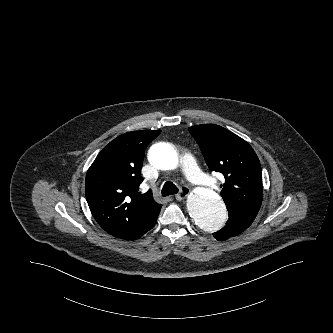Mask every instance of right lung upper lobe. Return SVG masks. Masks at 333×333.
I'll list each match as a JSON object with an SVG mask.
<instances>
[{
  "mask_svg": "<svg viewBox=\"0 0 333 333\" xmlns=\"http://www.w3.org/2000/svg\"><path fill=\"white\" fill-rule=\"evenodd\" d=\"M160 132L143 130L120 135L103 148L87 171L85 195L89 208L112 236L135 239L142 224L161 209L150 190L138 192L145 149Z\"/></svg>",
  "mask_w": 333,
  "mask_h": 333,
  "instance_id": "right-lung-upper-lobe-1",
  "label": "right lung upper lobe"
}]
</instances>
